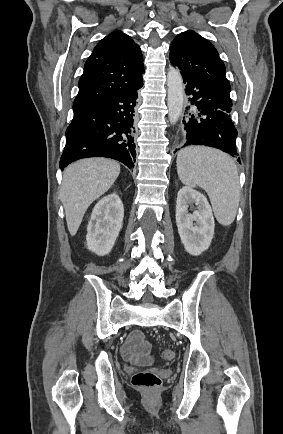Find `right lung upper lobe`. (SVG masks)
<instances>
[{
  "label": "right lung upper lobe",
  "mask_w": 283,
  "mask_h": 434,
  "mask_svg": "<svg viewBox=\"0 0 283 434\" xmlns=\"http://www.w3.org/2000/svg\"><path fill=\"white\" fill-rule=\"evenodd\" d=\"M143 68L141 49L132 38L119 31L109 34L85 63L73 109L136 87Z\"/></svg>",
  "instance_id": "cb5924a9"
}]
</instances>
